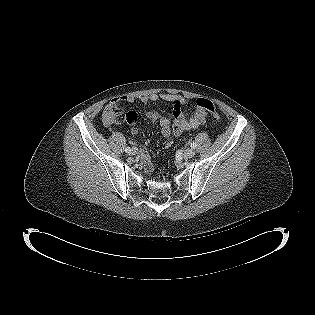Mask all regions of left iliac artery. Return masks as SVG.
<instances>
[{
  "label": "left iliac artery",
  "mask_w": 315,
  "mask_h": 315,
  "mask_svg": "<svg viewBox=\"0 0 315 315\" xmlns=\"http://www.w3.org/2000/svg\"><path fill=\"white\" fill-rule=\"evenodd\" d=\"M196 146H197L196 143H191V148L194 149V148H196Z\"/></svg>",
  "instance_id": "obj_1"
}]
</instances>
